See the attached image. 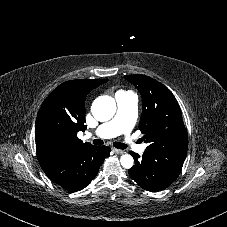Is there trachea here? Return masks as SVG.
Masks as SVG:
<instances>
[{"label": "trachea", "mask_w": 227, "mask_h": 227, "mask_svg": "<svg viewBox=\"0 0 227 227\" xmlns=\"http://www.w3.org/2000/svg\"><path fill=\"white\" fill-rule=\"evenodd\" d=\"M93 144H95V145H101V144H103V141L98 140V139H94L93 140ZM113 145L116 148H118V149H126L127 148L126 144L119 143V142H115Z\"/></svg>", "instance_id": "1"}]
</instances>
